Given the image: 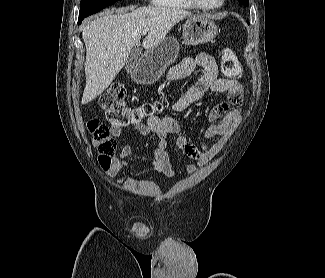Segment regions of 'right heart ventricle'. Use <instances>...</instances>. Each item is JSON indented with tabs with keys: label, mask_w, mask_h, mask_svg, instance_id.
<instances>
[{
	"label": "right heart ventricle",
	"mask_w": 325,
	"mask_h": 278,
	"mask_svg": "<svg viewBox=\"0 0 325 278\" xmlns=\"http://www.w3.org/2000/svg\"><path fill=\"white\" fill-rule=\"evenodd\" d=\"M153 4L159 7L172 9H194L188 0H152Z\"/></svg>",
	"instance_id": "right-heart-ventricle-1"
}]
</instances>
